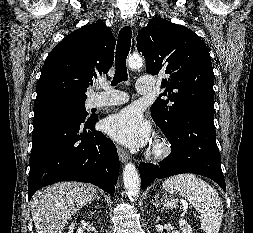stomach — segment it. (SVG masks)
<instances>
[{"label": "stomach", "instance_id": "0dacf381", "mask_svg": "<svg viewBox=\"0 0 253 233\" xmlns=\"http://www.w3.org/2000/svg\"><path fill=\"white\" fill-rule=\"evenodd\" d=\"M158 204L163 208L170 210L177 207V199L170 195H163L160 201H158Z\"/></svg>", "mask_w": 253, "mask_h": 233}]
</instances>
